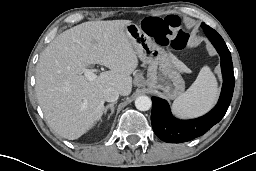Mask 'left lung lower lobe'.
Listing matches in <instances>:
<instances>
[{
	"mask_svg": "<svg viewBox=\"0 0 256 171\" xmlns=\"http://www.w3.org/2000/svg\"><path fill=\"white\" fill-rule=\"evenodd\" d=\"M201 27L221 58L223 75L221 95L217 105L209 113L192 120H178L174 118L165 100L152 97V128L155 134L167 143L186 142L206 133L223 118L232 99L235 78L230 51L222 37L214 29L205 23H202Z\"/></svg>",
	"mask_w": 256,
	"mask_h": 171,
	"instance_id": "obj_1",
	"label": "left lung lower lobe"
}]
</instances>
